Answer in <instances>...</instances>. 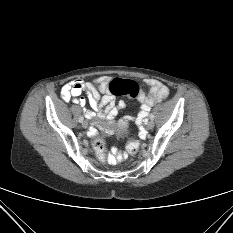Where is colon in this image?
Here are the masks:
<instances>
[{"mask_svg": "<svg viewBox=\"0 0 233 233\" xmlns=\"http://www.w3.org/2000/svg\"><path fill=\"white\" fill-rule=\"evenodd\" d=\"M108 89L115 96L125 95L130 98H137L140 92L139 85L135 81L122 78H115L110 81ZM92 147L97 157L101 161H104L106 158V150L103 140L100 137L93 138ZM139 147L140 144L137 140H130L126 149L130 154H135L138 152Z\"/></svg>", "mask_w": 233, "mask_h": 233, "instance_id": "obj_1", "label": "colon"}]
</instances>
